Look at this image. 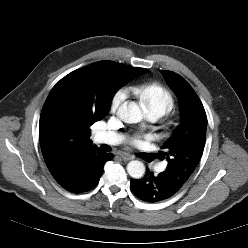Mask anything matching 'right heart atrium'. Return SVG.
<instances>
[{
    "mask_svg": "<svg viewBox=\"0 0 248 248\" xmlns=\"http://www.w3.org/2000/svg\"><path fill=\"white\" fill-rule=\"evenodd\" d=\"M126 96H127V92L125 89L123 88L117 89L112 95L111 102H110V108L112 110H117L121 106V104L124 102Z\"/></svg>",
    "mask_w": 248,
    "mask_h": 248,
    "instance_id": "1",
    "label": "right heart atrium"
}]
</instances>
